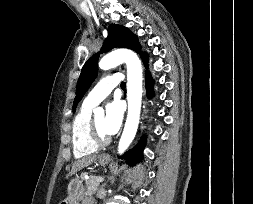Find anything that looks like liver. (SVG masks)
Masks as SVG:
<instances>
[{
  "label": "liver",
  "instance_id": "6515ba94",
  "mask_svg": "<svg viewBox=\"0 0 253 204\" xmlns=\"http://www.w3.org/2000/svg\"><path fill=\"white\" fill-rule=\"evenodd\" d=\"M96 160H97V155H89V156L76 160L72 165V170L69 173V175H72L76 173L77 171L83 169L84 167L91 165Z\"/></svg>",
  "mask_w": 253,
  "mask_h": 204
}]
</instances>
